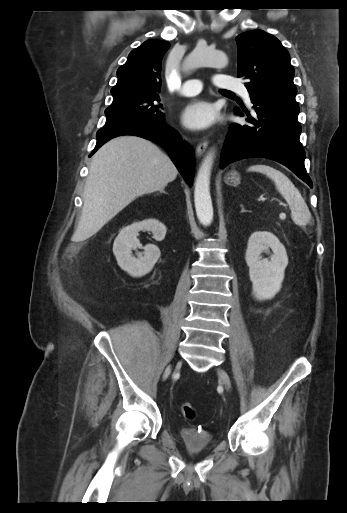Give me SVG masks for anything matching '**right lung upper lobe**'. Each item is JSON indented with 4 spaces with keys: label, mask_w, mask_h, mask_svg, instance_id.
<instances>
[{
    "label": "right lung upper lobe",
    "mask_w": 347,
    "mask_h": 513,
    "mask_svg": "<svg viewBox=\"0 0 347 513\" xmlns=\"http://www.w3.org/2000/svg\"><path fill=\"white\" fill-rule=\"evenodd\" d=\"M169 42L147 40L132 50L117 70L118 81L111 89L113 101L133 95H158L161 87V61Z\"/></svg>",
    "instance_id": "1"
}]
</instances>
